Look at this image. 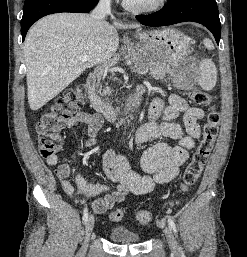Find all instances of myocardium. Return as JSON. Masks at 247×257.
Here are the masks:
<instances>
[{
    "label": "myocardium",
    "instance_id": "myocardium-1",
    "mask_svg": "<svg viewBox=\"0 0 247 257\" xmlns=\"http://www.w3.org/2000/svg\"><path fill=\"white\" fill-rule=\"evenodd\" d=\"M167 0H155L149 4H135L130 1L124 0V7L134 13L138 14H152L160 11L165 7Z\"/></svg>",
    "mask_w": 247,
    "mask_h": 257
}]
</instances>
